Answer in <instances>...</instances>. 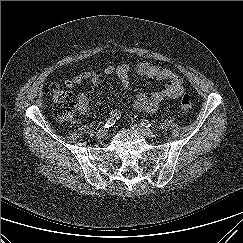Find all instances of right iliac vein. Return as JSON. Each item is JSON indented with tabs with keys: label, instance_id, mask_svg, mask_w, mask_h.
Wrapping results in <instances>:
<instances>
[{
	"label": "right iliac vein",
	"instance_id": "63e3f726",
	"mask_svg": "<svg viewBox=\"0 0 243 243\" xmlns=\"http://www.w3.org/2000/svg\"><path fill=\"white\" fill-rule=\"evenodd\" d=\"M107 131H108L107 128H103V129L99 130V131L97 132V137H98V138L103 137L104 135H106Z\"/></svg>",
	"mask_w": 243,
	"mask_h": 243
}]
</instances>
